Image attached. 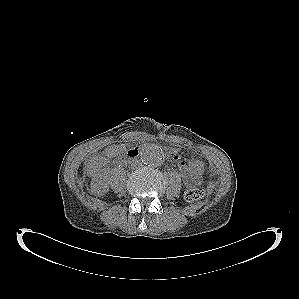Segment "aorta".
<instances>
[{
    "label": "aorta",
    "mask_w": 299,
    "mask_h": 299,
    "mask_svg": "<svg viewBox=\"0 0 299 299\" xmlns=\"http://www.w3.org/2000/svg\"><path fill=\"white\" fill-rule=\"evenodd\" d=\"M141 159L147 166H160L164 161V151L156 144H147L141 149Z\"/></svg>",
    "instance_id": "1"
}]
</instances>
